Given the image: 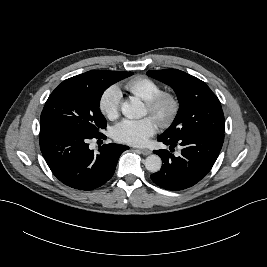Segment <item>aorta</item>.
Instances as JSON below:
<instances>
[{"instance_id": "aorta-1", "label": "aorta", "mask_w": 267, "mask_h": 267, "mask_svg": "<svg viewBox=\"0 0 267 267\" xmlns=\"http://www.w3.org/2000/svg\"><path fill=\"white\" fill-rule=\"evenodd\" d=\"M121 112L125 117L132 119L144 116L146 110L144 104L138 98L133 97L121 104ZM144 164L149 172L156 173L160 171L162 161L158 155L152 154L145 159Z\"/></svg>"}]
</instances>
